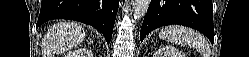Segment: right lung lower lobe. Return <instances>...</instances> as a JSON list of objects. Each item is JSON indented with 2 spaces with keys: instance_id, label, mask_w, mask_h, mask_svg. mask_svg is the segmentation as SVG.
Segmentation results:
<instances>
[{
  "instance_id": "obj_1",
  "label": "right lung lower lobe",
  "mask_w": 249,
  "mask_h": 57,
  "mask_svg": "<svg viewBox=\"0 0 249 57\" xmlns=\"http://www.w3.org/2000/svg\"><path fill=\"white\" fill-rule=\"evenodd\" d=\"M119 0H42L37 27L52 19L89 24L111 41Z\"/></svg>"
}]
</instances>
